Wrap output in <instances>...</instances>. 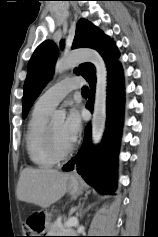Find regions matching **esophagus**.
<instances>
[{"label": "esophagus", "mask_w": 158, "mask_h": 237, "mask_svg": "<svg viewBox=\"0 0 158 237\" xmlns=\"http://www.w3.org/2000/svg\"><path fill=\"white\" fill-rule=\"evenodd\" d=\"M73 175L76 176V172L75 171L73 172Z\"/></svg>", "instance_id": "obj_1"}]
</instances>
